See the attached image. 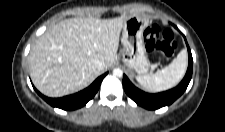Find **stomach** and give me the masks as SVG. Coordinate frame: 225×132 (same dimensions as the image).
<instances>
[{"mask_svg":"<svg viewBox=\"0 0 225 132\" xmlns=\"http://www.w3.org/2000/svg\"><path fill=\"white\" fill-rule=\"evenodd\" d=\"M147 26L148 21L144 17L133 15L129 16L122 28L123 62L140 75L146 74L150 68L144 45Z\"/></svg>","mask_w":225,"mask_h":132,"instance_id":"0dacf381","label":"stomach"}]
</instances>
